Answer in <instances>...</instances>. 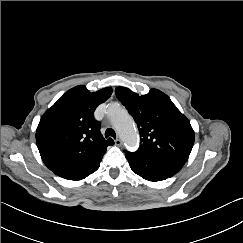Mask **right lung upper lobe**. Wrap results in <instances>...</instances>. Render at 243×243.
<instances>
[{"label": "right lung upper lobe", "instance_id": "right-lung-upper-lobe-1", "mask_svg": "<svg viewBox=\"0 0 243 243\" xmlns=\"http://www.w3.org/2000/svg\"><path fill=\"white\" fill-rule=\"evenodd\" d=\"M112 94L111 88L91 93L85 86L67 91L41 117L36 144L45 165L66 177L98 165L114 141L104 139L93 113Z\"/></svg>", "mask_w": 243, "mask_h": 243}]
</instances>
